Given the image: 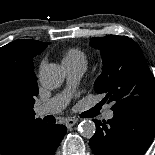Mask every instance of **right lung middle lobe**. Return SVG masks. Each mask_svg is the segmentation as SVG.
<instances>
[{
    "label": "right lung middle lobe",
    "instance_id": "dd1d6c3e",
    "mask_svg": "<svg viewBox=\"0 0 155 155\" xmlns=\"http://www.w3.org/2000/svg\"><path fill=\"white\" fill-rule=\"evenodd\" d=\"M31 73L34 75V67H31ZM37 91L36 81L25 85L22 90L0 86V135H13L19 129L20 116L16 101L20 93H27L34 98L38 94Z\"/></svg>",
    "mask_w": 155,
    "mask_h": 155
}]
</instances>
